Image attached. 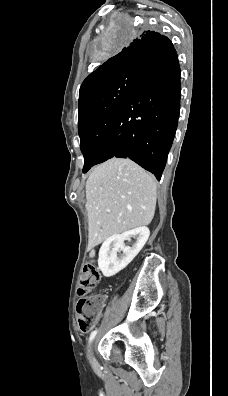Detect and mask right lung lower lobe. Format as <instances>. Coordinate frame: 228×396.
I'll return each instance as SVG.
<instances>
[{"label":"right lung lower lobe","mask_w":228,"mask_h":396,"mask_svg":"<svg viewBox=\"0 0 228 396\" xmlns=\"http://www.w3.org/2000/svg\"><path fill=\"white\" fill-rule=\"evenodd\" d=\"M180 97V66L169 40L142 62L96 164L129 158L160 180L178 124Z\"/></svg>","instance_id":"right-lung-lower-lobe-1"}]
</instances>
